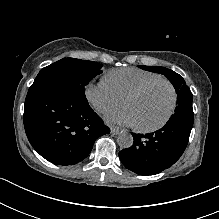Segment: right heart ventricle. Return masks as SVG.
<instances>
[{"label":"right heart ventricle","mask_w":219,"mask_h":219,"mask_svg":"<svg viewBox=\"0 0 219 219\" xmlns=\"http://www.w3.org/2000/svg\"><path fill=\"white\" fill-rule=\"evenodd\" d=\"M159 78H161L159 74L135 67H128L110 71L104 77V80L113 94L122 101L131 91L142 84Z\"/></svg>","instance_id":"1"}]
</instances>
